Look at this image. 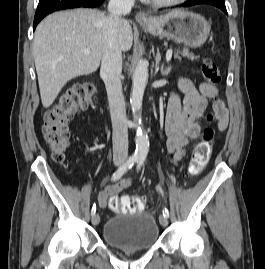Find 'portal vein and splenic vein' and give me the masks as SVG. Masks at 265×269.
Instances as JSON below:
<instances>
[{
	"instance_id": "obj_1",
	"label": "portal vein and splenic vein",
	"mask_w": 265,
	"mask_h": 269,
	"mask_svg": "<svg viewBox=\"0 0 265 269\" xmlns=\"http://www.w3.org/2000/svg\"><path fill=\"white\" fill-rule=\"evenodd\" d=\"M84 52H85L86 54H89V51H88V50H85ZM172 53H173L172 49H169V50L167 51V53H166V58H167L168 61L171 59V57H172Z\"/></svg>"
}]
</instances>
